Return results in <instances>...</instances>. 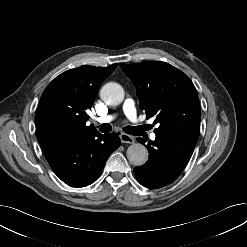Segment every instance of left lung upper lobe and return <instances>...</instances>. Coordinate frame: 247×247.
<instances>
[{
    "instance_id": "obj_1",
    "label": "left lung upper lobe",
    "mask_w": 247,
    "mask_h": 247,
    "mask_svg": "<svg viewBox=\"0 0 247 247\" xmlns=\"http://www.w3.org/2000/svg\"><path fill=\"white\" fill-rule=\"evenodd\" d=\"M132 80L146 117L155 118L156 135L185 136L198 140L201 111L192 81L166 62L120 64Z\"/></svg>"
}]
</instances>
